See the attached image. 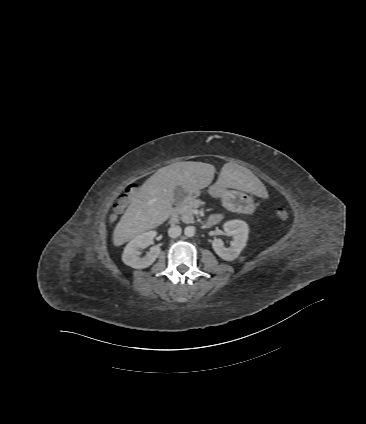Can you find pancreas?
I'll use <instances>...</instances> for the list:
<instances>
[{
	"instance_id": "1",
	"label": "pancreas",
	"mask_w": 366,
	"mask_h": 424,
	"mask_svg": "<svg viewBox=\"0 0 366 424\" xmlns=\"http://www.w3.org/2000/svg\"><path fill=\"white\" fill-rule=\"evenodd\" d=\"M202 204L203 202L199 200H189L184 202L179 208L180 219L187 224L194 223L193 211Z\"/></svg>"
}]
</instances>
